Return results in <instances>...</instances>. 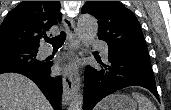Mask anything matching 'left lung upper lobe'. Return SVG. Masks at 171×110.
Masks as SVG:
<instances>
[{
    "instance_id": "obj_1",
    "label": "left lung upper lobe",
    "mask_w": 171,
    "mask_h": 110,
    "mask_svg": "<svg viewBox=\"0 0 171 110\" xmlns=\"http://www.w3.org/2000/svg\"><path fill=\"white\" fill-rule=\"evenodd\" d=\"M81 12L98 19V37L108 43V51L150 62L140 23L122 3L87 1Z\"/></svg>"
}]
</instances>
